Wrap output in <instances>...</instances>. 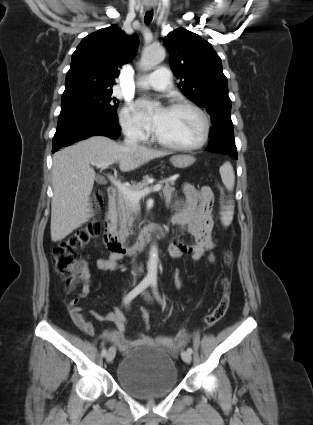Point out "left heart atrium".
Masks as SVG:
<instances>
[{"mask_svg":"<svg viewBox=\"0 0 313 425\" xmlns=\"http://www.w3.org/2000/svg\"><path fill=\"white\" fill-rule=\"evenodd\" d=\"M139 106L141 108V114L144 120L153 130L157 131L165 118L167 109L162 108L152 112L149 110V103L146 101H140Z\"/></svg>","mask_w":313,"mask_h":425,"instance_id":"1","label":"left heart atrium"}]
</instances>
